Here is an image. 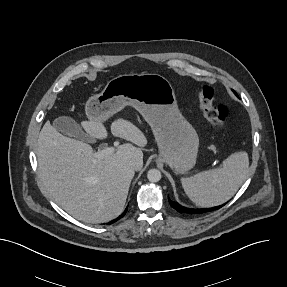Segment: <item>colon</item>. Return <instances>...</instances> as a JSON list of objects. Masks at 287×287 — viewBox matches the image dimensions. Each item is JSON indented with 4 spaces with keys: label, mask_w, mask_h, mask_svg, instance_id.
<instances>
[{
    "label": "colon",
    "mask_w": 287,
    "mask_h": 287,
    "mask_svg": "<svg viewBox=\"0 0 287 287\" xmlns=\"http://www.w3.org/2000/svg\"><path fill=\"white\" fill-rule=\"evenodd\" d=\"M196 91L201 110L207 121L217 129L223 128L228 116V108L214 103V94L210 86L200 85Z\"/></svg>",
    "instance_id": "colon-1"
}]
</instances>
